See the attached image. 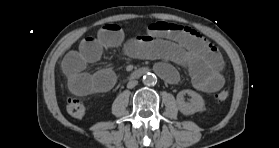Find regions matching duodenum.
Wrapping results in <instances>:
<instances>
[{
	"instance_id": "1",
	"label": "duodenum",
	"mask_w": 279,
	"mask_h": 148,
	"mask_svg": "<svg viewBox=\"0 0 279 148\" xmlns=\"http://www.w3.org/2000/svg\"><path fill=\"white\" fill-rule=\"evenodd\" d=\"M148 72L147 68H140L130 74V79H139Z\"/></svg>"
}]
</instances>
